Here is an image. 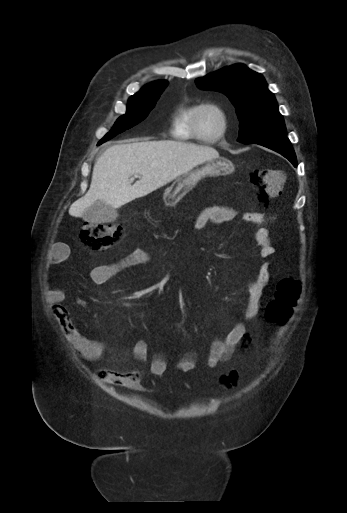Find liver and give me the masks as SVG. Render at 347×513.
Wrapping results in <instances>:
<instances>
[{"mask_svg": "<svg viewBox=\"0 0 347 513\" xmlns=\"http://www.w3.org/2000/svg\"><path fill=\"white\" fill-rule=\"evenodd\" d=\"M218 157L214 148L172 140L110 146L94 165L88 192L71 204L69 214L81 217L96 201L119 208ZM132 175L140 176L133 185Z\"/></svg>", "mask_w": 347, "mask_h": 513, "instance_id": "obj_1", "label": "liver"}]
</instances>
